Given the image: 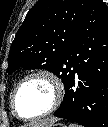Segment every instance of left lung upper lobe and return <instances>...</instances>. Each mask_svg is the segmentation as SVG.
Returning <instances> with one entry per match:
<instances>
[{"label": "left lung upper lobe", "mask_w": 108, "mask_h": 127, "mask_svg": "<svg viewBox=\"0 0 108 127\" xmlns=\"http://www.w3.org/2000/svg\"><path fill=\"white\" fill-rule=\"evenodd\" d=\"M89 0H40L28 12L9 52L7 73L46 69L65 81L64 64Z\"/></svg>", "instance_id": "obj_1"}]
</instances>
